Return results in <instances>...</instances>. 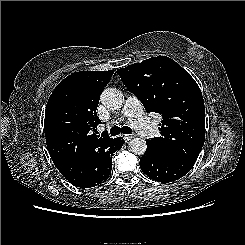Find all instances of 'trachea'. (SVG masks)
Returning a JSON list of instances; mask_svg holds the SVG:
<instances>
[{"instance_id":"obj_1","label":"trachea","mask_w":245,"mask_h":245,"mask_svg":"<svg viewBox=\"0 0 245 245\" xmlns=\"http://www.w3.org/2000/svg\"><path fill=\"white\" fill-rule=\"evenodd\" d=\"M132 129L128 126H124V127H118V126H113L110 130V134L111 136H116L119 135L120 133L123 134H131Z\"/></svg>"}]
</instances>
